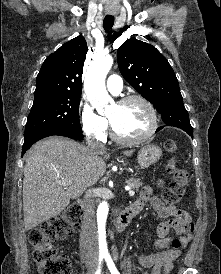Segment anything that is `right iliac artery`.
I'll list each match as a JSON object with an SVG mask.
<instances>
[{
	"mask_svg": "<svg viewBox=\"0 0 221 274\" xmlns=\"http://www.w3.org/2000/svg\"><path fill=\"white\" fill-rule=\"evenodd\" d=\"M102 261H103V257L100 256V257H99L98 268H97L95 274H101V263H102Z\"/></svg>",
	"mask_w": 221,
	"mask_h": 274,
	"instance_id": "1",
	"label": "right iliac artery"
}]
</instances>
